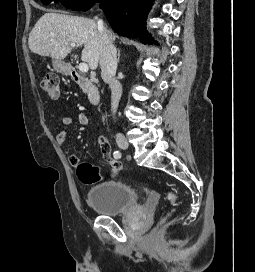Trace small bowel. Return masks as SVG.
I'll list each match as a JSON object with an SVG mask.
<instances>
[{
  "label": "small bowel",
  "mask_w": 255,
  "mask_h": 272,
  "mask_svg": "<svg viewBox=\"0 0 255 272\" xmlns=\"http://www.w3.org/2000/svg\"><path fill=\"white\" fill-rule=\"evenodd\" d=\"M61 123L65 127H71L74 124V120L70 116H62ZM77 124L80 127H84L88 124V116L84 112H80L77 115ZM69 137L68 130H62L56 135V141L61 149L65 152L68 161L72 165H77L79 159L77 154L66 145V140ZM98 145L101 149L103 158L111 165V171L105 176V178H114L121 169V163L112 157V147L110 142L105 136H99L97 139Z\"/></svg>",
  "instance_id": "1"
}]
</instances>
